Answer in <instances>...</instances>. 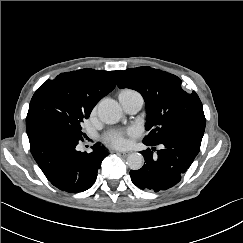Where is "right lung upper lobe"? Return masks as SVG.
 <instances>
[{"mask_svg": "<svg viewBox=\"0 0 243 243\" xmlns=\"http://www.w3.org/2000/svg\"><path fill=\"white\" fill-rule=\"evenodd\" d=\"M122 71L81 69L62 73L44 85H52L83 109L92 111L98 101L116 86Z\"/></svg>", "mask_w": 243, "mask_h": 243, "instance_id": "cb5924a9", "label": "right lung upper lobe"}]
</instances>
